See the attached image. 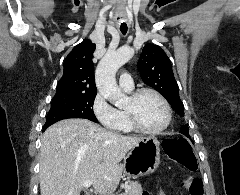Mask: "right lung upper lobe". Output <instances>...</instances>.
<instances>
[{"instance_id":"1","label":"right lung upper lobe","mask_w":240,"mask_h":195,"mask_svg":"<svg viewBox=\"0 0 240 195\" xmlns=\"http://www.w3.org/2000/svg\"><path fill=\"white\" fill-rule=\"evenodd\" d=\"M96 45L84 40L69 53L64 61V72L56 95H96L93 52Z\"/></svg>"}]
</instances>
